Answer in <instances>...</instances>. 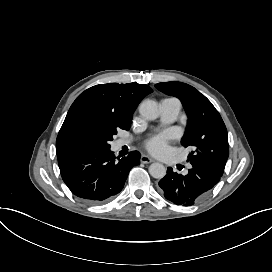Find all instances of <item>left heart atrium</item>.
I'll use <instances>...</instances> for the list:
<instances>
[{
	"label": "left heart atrium",
	"instance_id": "1",
	"mask_svg": "<svg viewBox=\"0 0 272 272\" xmlns=\"http://www.w3.org/2000/svg\"><path fill=\"white\" fill-rule=\"evenodd\" d=\"M168 136H169L168 134H164V135L154 139L150 143L151 151L156 153V154L165 151L167 149L166 140H167Z\"/></svg>",
	"mask_w": 272,
	"mask_h": 272
}]
</instances>
